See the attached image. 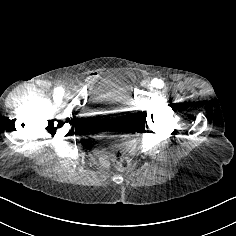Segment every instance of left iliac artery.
<instances>
[{"mask_svg":"<svg viewBox=\"0 0 236 236\" xmlns=\"http://www.w3.org/2000/svg\"><path fill=\"white\" fill-rule=\"evenodd\" d=\"M151 85L156 88H162L164 83L161 79L158 80L157 78H155L152 80Z\"/></svg>","mask_w":236,"mask_h":236,"instance_id":"left-iliac-artery-1","label":"left iliac artery"}]
</instances>
